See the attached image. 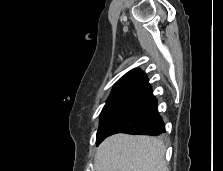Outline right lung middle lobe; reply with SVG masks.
<instances>
[{
    "mask_svg": "<svg viewBox=\"0 0 223 171\" xmlns=\"http://www.w3.org/2000/svg\"><path fill=\"white\" fill-rule=\"evenodd\" d=\"M136 100L131 97L109 98L100 115V125L97 132V142L104 135L106 129L119 118Z\"/></svg>",
    "mask_w": 223,
    "mask_h": 171,
    "instance_id": "1",
    "label": "right lung middle lobe"
}]
</instances>
